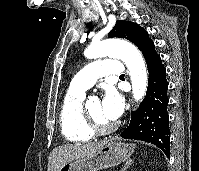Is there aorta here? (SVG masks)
I'll return each instance as SVG.
<instances>
[{"label":"aorta","mask_w":199,"mask_h":171,"mask_svg":"<svg viewBox=\"0 0 199 171\" xmlns=\"http://www.w3.org/2000/svg\"><path fill=\"white\" fill-rule=\"evenodd\" d=\"M85 56L96 59L112 56L121 59L129 70L132 83V93L135 101H140L147 90V68L139 50L131 43L118 39H107L92 43L86 50Z\"/></svg>","instance_id":"1"}]
</instances>
